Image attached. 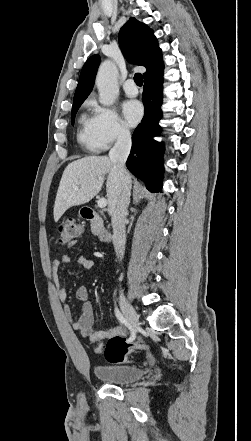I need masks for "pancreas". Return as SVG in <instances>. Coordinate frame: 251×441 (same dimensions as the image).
<instances>
[{
    "instance_id": "obj_1",
    "label": "pancreas",
    "mask_w": 251,
    "mask_h": 441,
    "mask_svg": "<svg viewBox=\"0 0 251 441\" xmlns=\"http://www.w3.org/2000/svg\"><path fill=\"white\" fill-rule=\"evenodd\" d=\"M91 232L93 235H98L100 233V227L94 221L91 222Z\"/></svg>"
}]
</instances>
